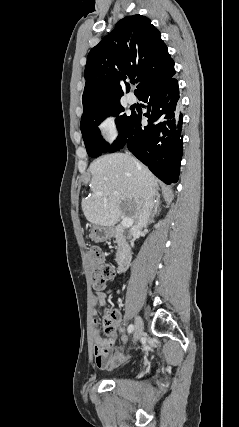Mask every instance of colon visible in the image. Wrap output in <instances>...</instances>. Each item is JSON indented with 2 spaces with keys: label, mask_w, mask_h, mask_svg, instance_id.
Listing matches in <instances>:
<instances>
[{
  "label": "colon",
  "mask_w": 239,
  "mask_h": 427,
  "mask_svg": "<svg viewBox=\"0 0 239 427\" xmlns=\"http://www.w3.org/2000/svg\"><path fill=\"white\" fill-rule=\"evenodd\" d=\"M87 256L92 287L95 290H103L106 283L113 277V268L105 262L104 253L99 247H89ZM104 322L106 331L113 328V319L110 314L105 316Z\"/></svg>",
  "instance_id": "obj_1"
}]
</instances>
